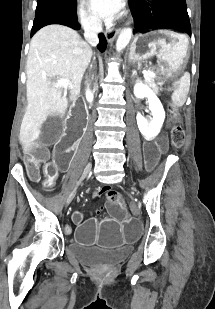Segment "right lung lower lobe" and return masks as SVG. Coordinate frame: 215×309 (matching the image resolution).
Wrapping results in <instances>:
<instances>
[{
	"instance_id": "obj_1",
	"label": "right lung lower lobe",
	"mask_w": 215,
	"mask_h": 309,
	"mask_svg": "<svg viewBox=\"0 0 215 309\" xmlns=\"http://www.w3.org/2000/svg\"><path fill=\"white\" fill-rule=\"evenodd\" d=\"M49 24H62V25L69 26V27H71L73 29H79V27H80V25L77 22V17H76L74 20H67L65 18H52V19H48V20H46V21H44V22H42L40 24V28H42L43 26L49 25ZM35 33L31 32V35H34ZM99 39H100V42L98 44V48L101 51H104L106 46H107V41H106V39H105L103 34H99Z\"/></svg>"
}]
</instances>
